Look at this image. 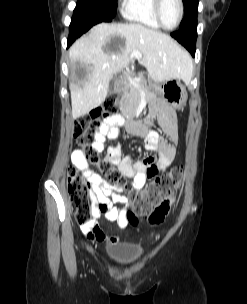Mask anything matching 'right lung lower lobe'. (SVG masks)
<instances>
[{
  "label": "right lung lower lobe",
  "instance_id": "1",
  "mask_svg": "<svg viewBox=\"0 0 247 304\" xmlns=\"http://www.w3.org/2000/svg\"><path fill=\"white\" fill-rule=\"evenodd\" d=\"M112 18L95 15H77L74 14L69 27L68 47L76 38L88 31L93 25L100 22H110Z\"/></svg>",
  "mask_w": 247,
  "mask_h": 304
}]
</instances>
